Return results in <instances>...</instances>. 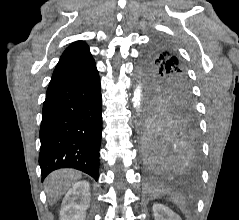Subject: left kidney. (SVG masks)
I'll use <instances>...</instances> for the list:
<instances>
[{"mask_svg":"<svg viewBox=\"0 0 239 220\" xmlns=\"http://www.w3.org/2000/svg\"><path fill=\"white\" fill-rule=\"evenodd\" d=\"M155 220H181L171 209L161 204L152 207Z\"/></svg>","mask_w":239,"mask_h":220,"instance_id":"obj_1","label":"left kidney"}]
</instances>
